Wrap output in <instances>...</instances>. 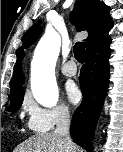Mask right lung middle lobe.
I'll list each match as a JSON object with an SVG mask.
<instances>
[{
    "label": "right lung middle lobe",
    "instance_id": "dd1d6c3e",
    "mask_svg": "<svg viewBox=\"0 0 123 152\" xmlns=\"http://www.w3.org/2000/svg\"><path fill=\"white\" fill-rule=\"evenodd\" d=\"M24 91L19 90L13 94H11V102L9 107V112H16L23 102Z\"/></svg>",
    "mask_w": 123,
    "mask_h": 152
}]
</instances>
